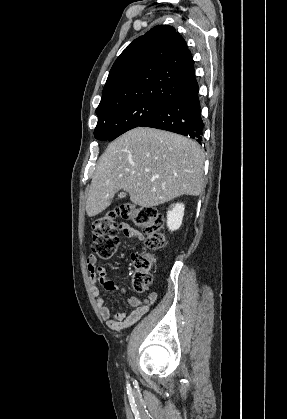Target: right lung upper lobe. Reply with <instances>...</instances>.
Here are the masks:
<instances>
[{"label": "right lung upper lobe", "mask_w": 287, "mask_h": 419, "mask_svg": "<svg viewBox=\"0 0 287 419\" xmlns=\"http://www.w3.org/2000/svg\"><path fill=\"white\" fill-rule=\"evenodd\" d=\"M198 88L194 61L175 28L158 25L116 59L96 109L101 114L137 101H162Z\"/></svg>", "instance_id": "1"}]
</instances>
